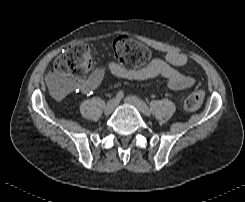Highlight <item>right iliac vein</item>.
<instances>
[{
	"label": "right iliac vein",
	"instance_id": "1",
	"mask_svg": "<svg viewBox=\"0 0 245 202\" xmlns=\"http://www.w3.org/2000/svg\"><path fill=\"white\" fill-rule=\"evenodd\" d=\"M117 105H118V101L116 99H111L105 106L104 113L106 115L111 114Z\"/></svg>",
	"mask_w": 245,
	"mask_h": 202
}]
</instances>
